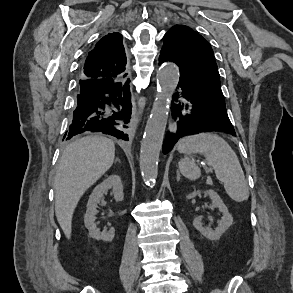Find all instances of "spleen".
<instances>
[{
  "mask_svg": "<svg viewBox=\"0 0 293 293\" xmlns=\"http://www.w3.org/2000/svg\"><path fill=\"white\" fill-rule=\"evenodd\" d=\"M177 150L184 154H201L214 169L216 177L224 184L226 193L236 202L249 197V190L240 162L231 146L220 136L213 133H199L182 138ZM183 176L196 180L201 170L194 160L181 159L178 163Z\"/></svg>",
  "mask_w": 293,
  "mask_h": 293,
  "instance_id": "obj_1",
  "label": "spleen"
}]
</instances>
